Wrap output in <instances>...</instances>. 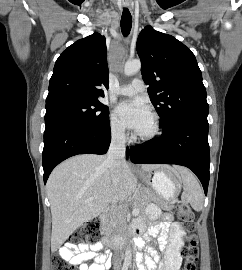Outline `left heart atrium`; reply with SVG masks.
Instances as JSON below:
<instances>
[{
	"label": "left heart atrium",
	"mask_w": 242,
	"mask_h": 270,
	"mask_svg": "<svg viewBox=\"0 0 242 270\" xmlns=\"http://www.w3.org/2000/svg\"><path fill=\"white\" fill-rule=\"evenodd\" d=\"M116 112L125 126L139 132L151 119L149 105L140 98L122 101Z\"/></svg>",
	"instance_id": "left-heart-atrium-1"
}]
</instances>
